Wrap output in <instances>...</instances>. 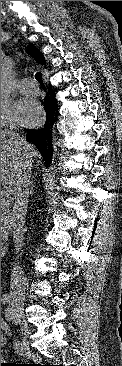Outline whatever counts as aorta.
<instances>
[{"mask_svg": "<svg viewBox=\"0 0 122 366\" xmlns=\"http://www.w3.org/2000/svg\"><path fill=\"white\" fill-rule=\"evenodd\" d=\"M12 64L8 59H1V99L7 98L12 89Z\"/></svg>", "mask_w": 122, "mask_h": 366, "instance_id": "obj_1", "label": "aorta"}]
</instances>
